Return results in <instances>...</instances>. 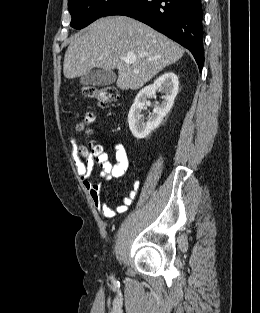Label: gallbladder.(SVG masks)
<instances>
[{"mask_svg": "<svg viewBox=\"0 0 260 313\" xmlns=\"http://www.w3.org/2000/svg\"><path fill=\"white\" fill-rule=\"evenodd\" d=\"M116 80V74L112 70H91L80 77V83L84 86H108Z\"/></svg>", "mask_w": 260, "mask_h": 313, "instance_id": "bac80fb5", "label": "gallbladder"}]
</instances>
